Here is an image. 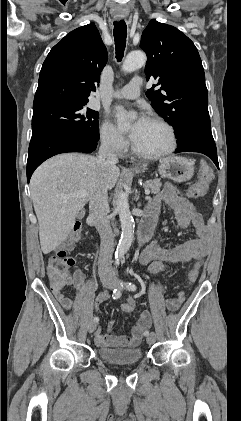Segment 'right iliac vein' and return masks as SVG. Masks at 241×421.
Wrapping results in <instances>:
<instances>
[{
    "mask_svg": "<svg viewBox=\"0 0 241 421\" xmlns=\"http://www.w3.org/2000/svg\"><path fill=\"white\" fill-rule=\"evenodd\" d=\"M102 283H103V286L105 287V288H108V289H111V288H113V286H114V283H113V281L112 280H109V279H105V280H103L102 281ZM96 329V323L95 322H90L89 324H88V331H89V333H92V332H94V330Z\"/></svg>",
    "mask_w": 241,
    "mask_h": 421,
    "instance_id": "1",
    "label": "right iliac vein"
}]
</instances>
